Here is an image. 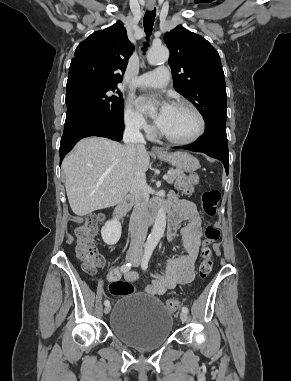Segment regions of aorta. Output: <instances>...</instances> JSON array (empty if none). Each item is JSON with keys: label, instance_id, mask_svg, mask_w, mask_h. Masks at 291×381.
I'll list each match as a JSON object with an SVG mask.
<instances>
[{"label": "aorta", "instance_id": "1", "mask_svg": "<svg viewBox=\"0 0 291 381\" xmlns=\"http://www.w3.org/2000/svg\"><path fill=\"white\" fill-rule=\"evenodd\" d=\"M169 58V50L165 46L152 47L147 54V60L150 65H158ZM166 227V212L163 206H160L153 229L147 238L146 248L153 250L164 234Z\"/></svg>", "mask_w": 291, "mask_h": 381}]
</instances>
